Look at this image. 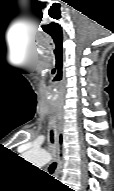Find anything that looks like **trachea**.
<instances>
[{"mask_svg": "<svg viewBox=\"0 0 114 191\" xmlns=\"http://www.w3.org/2000/svg\"><path fill=\"white\" fill-rule=\"evenodd\" d=\"M51 142L53 143L54 142V139H53V131H51ZM56 169V163H52L50 166H49V172L52 174L54 172V170Z\"/></svg>", "mask_w": 114, "mask_h": 191, "instance_id": "trachea-1", "label": "trachea"}]
</instances>
